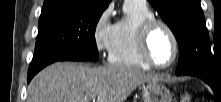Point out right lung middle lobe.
Segmentation results:
<instances>
[{
    "label": "right lung middle lobe",
    "instance_id": "1",
    "mask_svg": "<svg viewBox=\"0 0 221 102\" xmlns=\"http://www.w3.org/2000/svg\"><path fill=\"white\" fill-rule=\"evenodd\" d=\"M106 7L85 2L42 10L35 53L28 73L64 60L98 58L95 29Z\"/></svg>",
    "mask_w": 221,
    "mask_h": 102
}]
</instances>
